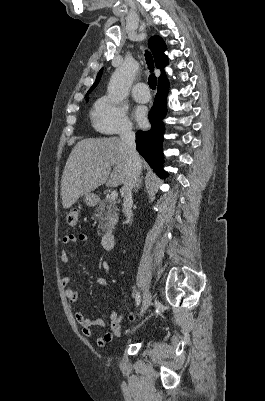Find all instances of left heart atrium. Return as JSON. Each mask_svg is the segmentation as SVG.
Listing matches in <instances>:
<instances>
[{
    "label": "left heart atrium",
    "instance_id": "39dd6f15",
    "mask_svg": "<svg viewBox=\"0 0 265 401\" xmlns=\"http://www.w3.org/2000/svg\"><path fill=\"white\" fill-rule=\"evenodd\" d=\"M134 116L139 123L144 122L146 120V109L141 106H137L134 110Z\"/></svg>",
    "mask_w": 265,
    "mask_h": 401
}]
</instances>
